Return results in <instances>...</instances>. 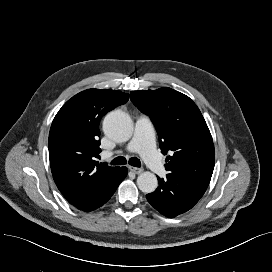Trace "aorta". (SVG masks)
<instances>
[{
  "label": "aorta",
  "mask_w": 272,
  "mask_h": 272,
  "mask_svg": "<svg viewBox=\"0 0 272 272\" xmlns=\"http://www.w3.org/2000/svg\"><path fill=\"white\" fill-rule=\"evenodd\" d=\"M103 130L110 139L125 142L133 133L132 120L122 111H112L104 118ZM137 186L144 193H152L158 186L157 177L151 172H143L137 178Z\"/></svg>",
  "instance_id": "762f6f07"
}]
</instances>
